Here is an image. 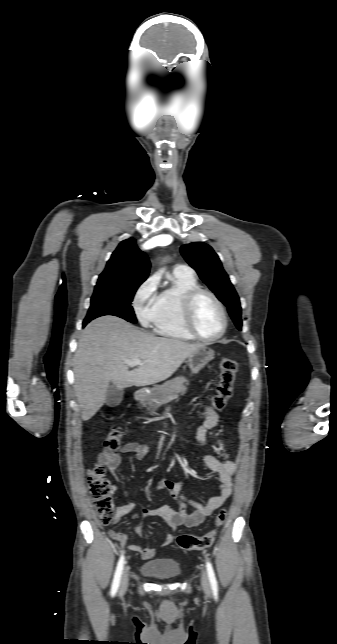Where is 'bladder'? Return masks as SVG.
<instances>
[{"instance_id":"31cf9c89","label":"bladder","mask_w":337,"mask_h":644,"mask_svg":"<svg viewBox=\"0 0 337 644\" xmlns=\"http://www.w3.org/2000/svg\"><path fill=\"white\" fill-rule=\"evenodd\" d=\"M140 571L143 575L156 580H172L181 575L182 567L175 559L159 557L144 562Z\"/></svg>"}]
</instances>
